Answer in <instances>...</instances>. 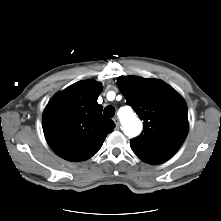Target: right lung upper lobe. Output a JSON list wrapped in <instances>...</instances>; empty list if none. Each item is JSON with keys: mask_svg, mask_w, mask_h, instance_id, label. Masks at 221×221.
<instances>
[{"mask_svg": "<svg viewBox=\"0 0 221 221\" xmlns=\"http://www.w3.org/2000/svg\"><path fill=\"white\" fill-rule=\"evenodd\" d=\"M102 84L77 82L57 93L43 112V131L52 150L68 161H83L101 148L115 124L102 115Z\"/></svg>", "mask_w": 221, "mask_h": 221, "instance_id": "right-lung-upper-lobe-1", "label": "right lung upper lobe"}]
</instances>
